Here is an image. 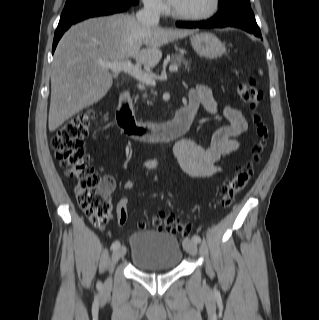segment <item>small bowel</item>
Instances as JSON below:
<instances>
[{
  "instance_id": "1",
  "label": "small bowel",
  "mask_w": 319,
  "mask_h": 320,
  "mask_svg": "<svg viewBox=\"0 0 319 320\" xmlns=\"http://www.w3.org/2000/svg\"><path fill=\"white\" fill-rule=\"evenodd\" d=\"M188 107L194 112L203 107L208 113L216 114L217 105L212 91L208 86L198 85L190 93ZM223 115L228 124L219 127L211 138L210 146L204 148L190 139H182L174 146V156L180 168L188 175L196 178H208L220 172L225 158L235 151L239 145V138L246 132L248 123L244 115L235 107L227 106ZM157 165L155 161L143 164L144 170ZM134 180L123 183L124 190L135 187ZM127 200L121 199L117 204V212L127 213Z\"/></svg>"
}]
</instances>
